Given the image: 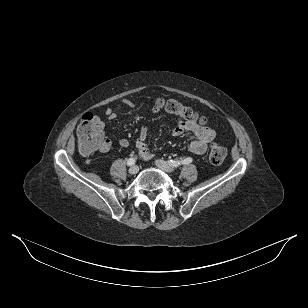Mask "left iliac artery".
Instances as JSON below:
<instances>
[{"label":"left iliac artery","mask_w":308,"mask_h":308,"mask_svg":"<svg viewBox=\"0 0 308 308\" xmlns=\"http://www.w3.org/2000/svg\"><path fill=\"white\" fill-rule=\"evenodd\" d=\"M192 162V158L188 157L185 158L182 161H177V160H169V164H171L173 167H179L180 165H187Z\"/></svg>","instance_id":"44dca946"}]
</instances>
